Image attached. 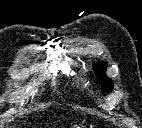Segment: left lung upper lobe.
Returning a JSON list of instances; mask_svg holds the SVG:
<instances>
[{
  "label": "left lung upper lobe",
  "mask_w": 142,
  "mask_h": 128,
  "mask_svg": "<svg viewBox=\"0 0 142 128\" xmlns=\"http://www.w3.org/2000/svg\"><path fill=\"white\" fill-rule=\"evenodd\" d=\"M105 68L106 66L103 63L94 65V71L98 78V81L103 86V92H109L112 90L113 84L112 81L105 75Z\"/></svg>",
  "instance_id": "5c2ea615"
}]
</instances>
